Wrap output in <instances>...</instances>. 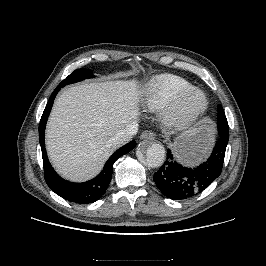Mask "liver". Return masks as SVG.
I'll return each instance as SVG.
<instances>
[{
	"mask_svg": "<svg viewBox=\"0 0 266 266\" xmlns=\"http://www.w3.org/2000/svg\"><path fill=\"white\" fill-rule=\"evenodd\" d=\"M139 89L134 80L71 86L56 98L46 128L48 156L72 181L96 176L114 151L110 138L137 121Z\"/></svg>",
	"mask_w": 266,
	"mask_h": 266,
	"instance_id": "liver-1",
	"label": "liver"
}]
</instances>
